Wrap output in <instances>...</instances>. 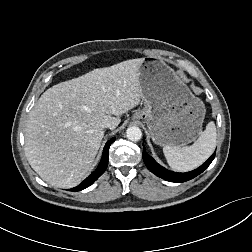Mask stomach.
I'll use <instances>...</instances> for the list:
<instances>
[{
	"mask_svg": "<svg viewBox=\"0 0 252 252\" xmlns=\"http://www.w3.org/2000/svg\"><path fill=\"white\" fill-rule=\"evenodd\" d=\"M138 74L144 108L135 112L133 120H146L157 145L183 146L195 141L205 117L203 102L162 59L143 58Z\"/></svg>",
	"mask_w": 252,
	"mask_h": 252,
	"instance_id": "1",
	"label": "stomach"
}]
</instances>
